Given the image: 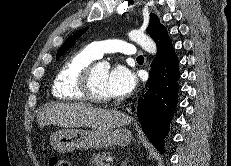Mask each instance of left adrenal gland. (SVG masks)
Segmentation results:
<instances>
[{
  "label": "left adrenal gland",
  "instance_id": "obj_1",
  "mask_svg": "<svg viewBox=\"0 0 231 166\" xmlns=\"http://www.w3.org/2000/svg\"><path fill=\"white\" fill-rule=\"evenodd\" d=\"M127 163H128V158H126V159L123 161V163H122L121 166H127Z\"/></svg>",
  "mask_w": 231,
  "mask_h": 166
}]
</instances>
